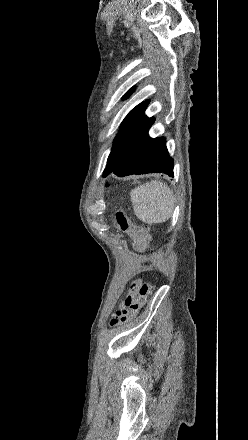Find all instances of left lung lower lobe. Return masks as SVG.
Masks as SVG:
<instances>
[{
    "label": "left lung lower lobe",
    "mask_w": 248,
    "mask_h": 440,
    "mask_svg": "<svg viewBox=\"0 0 248 440\" xmlns=\"http://www.w3.org/2000/svg\"><path fill=\"white\" fill-rule=\"evenodd\" d=\"M173 159L170 158L165 138H146L122 158L112 173L119 177L132 174L164 173L174 177Z\"/></svg>",
    "instance_id": "left-lung-lower-lobe-1"
}]
</instances>
